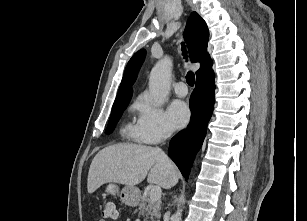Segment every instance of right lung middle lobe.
Masks as SVG:
<instances>
[{"label":"right lung middle lobe","instance_id":"dd1d6c3e","mask_svg":"<svg viewBox=\"0 0 307 221\" xmlns=\"http://www.w3.org/2000/svg\"><path fill=\"white\" fill-rule=\"evenodd\" d=\"M129 101H130V99L114 103V105L112 107V111H111V115H110V119H109V123H108V126H107L106 133L112 132V130L114 129L118 120L120 119L123 111L127 107Z\"/></svg>","mask_w":307,"mask_h":221}]
</instances>
